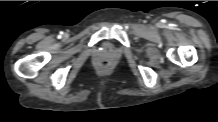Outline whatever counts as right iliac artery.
<instances>
[{
    "label": "right iliac artery",
    "mask_w": 218,
    "mask_h": 122,
    "mask_svg": "<svg viewBox=\"0 0 218 122\" xmlns=\"http://www.w3.org/2000/svg\"><path fill=\"white\" fill-rule=\"evenodd\" d=\"M63 34V32H60V35H59V37H61V35Z\"/></svg>",
    "instance_id": "obj_1"
}]
</instances>
